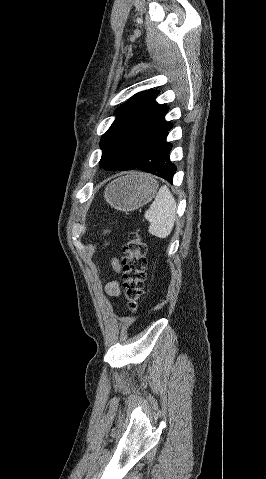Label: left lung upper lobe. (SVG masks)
<instances>
[{
	"mask_svg": "<svg viewBox=\"0 0 266 479\" xmlns=\"http://www.w3.org/2000/svg\"><path fill=\"white\" fill-rule=\"evenodd\" d=\"M158 93L155 90L139 92L116 109V119L100 141L101 168L133 169L157 155L169 110L155 101Z\"/></svg>",
	"mask_w": 266,
	"mask_h": 479,
	"instance_id": "1",
	"label": "left lung upper lobe"
}]
</instances>
